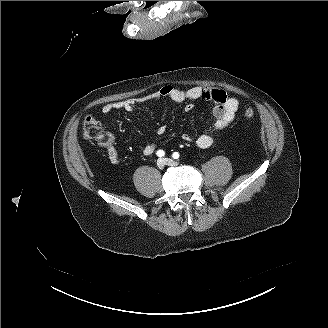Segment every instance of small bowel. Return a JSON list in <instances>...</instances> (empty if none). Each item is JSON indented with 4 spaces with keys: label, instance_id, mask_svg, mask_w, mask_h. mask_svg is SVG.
I'll use <instances>...</instances> for the list:
<instances>
[{
    "label": "small bowel",
    "instance_id": "1",
    "mask_svg": "<svg viewBox=\"0 0 328 328\" xmlns=\"http://www.w3.org/2000/svg\"><path fill=\"white\" fill-rule=\"evenodd\" d=\"M161 98H168L174 102L182 103L190 100L205 99L214 103L212 114L214 117L213 128L215 130H222L226 128L235 118L236 113L239 109V101L235 97H229L227 94L218 89L207 88V87H192L187 90H183L174 86L165 85L159 90L140 98H127L124 100H119L111 103H107L102 107L104 113H109L113 110H126L132 111L135 106ZM193 106L191 104H186L185 111L191 112ZM167 129L165 126H160L155 130L157 135H164ZM182 139L185 142H191L195 140L197 146L202 149L210 147L213 143V138L210 133L204 132L197 136L196 138L189 134L183 133ZM158 144L156 142H151L142 147L141 152L143 155L148 156L156 151ZM107 156L112 164L119 163V153L118 150L111 143L107 145L106 148Z\"/></svg>",
    "mask_w": 328,
    "mask_h": 328
}]
</instances>
